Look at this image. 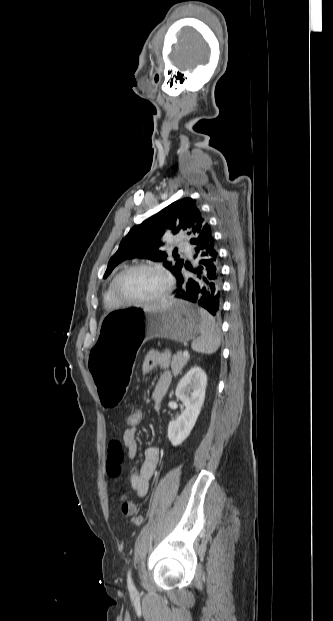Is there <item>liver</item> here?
<instances>
[{
	"label": "liver",
	"mask_w": 333,
	"mask_h": 621,
	"mask_svg": "<svg viewBox=\"0 0 333 621\" xmlns=\"http://www.w3.org/2000/svg\"><path fill=\"white\" fill-rule=\"evenodd\" d=\"M168 303H169V301H163V302H161L158 305H154V306H150V307H158V306H162L163 307V306L167 305Z\"/></svg>",
	"instance_id": "obj_1"
}]
</instances>
